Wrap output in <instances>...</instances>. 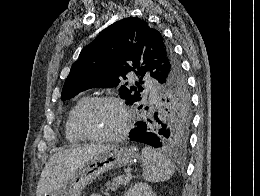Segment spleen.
Wrapping results in <instances>:
<instances>
[{
    "instance_id": "obj_1",
    "label": "spleen",
    "mask_w": 260,
    "mask_h": 196,
    "mask_svg": "<svg viewBox=\"0 0 260 196\" xmlns=\"http://www.w3.org/2000/svg\"><path fill=\"white\" fill-rule=\"evenodd\" d=\"M141 158L144 166L142 176L145 182H165L171 178L175 166L166 156H162L152 148H143Z\"/></svg>"
}]
</instances>
